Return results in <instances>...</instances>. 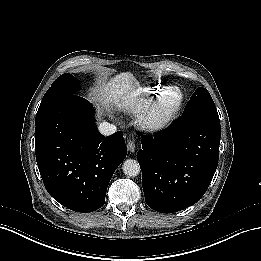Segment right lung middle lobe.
Masks as SVG:
<instances>
[{"label":"right lung middle lobe","mask_w":261,"mask_h":261,"mask_svg":"<svg viewBox=\"0 0 261 261\" xmlns=\"http://www.w3.org/2000/svg\"><path fill=\"white\" fill-rule=\"evenodd\" d=\"M79 88V81L71 74H63L59 76L44 95L39 109L36 114V119L58 104L65 97L75 94Z\"/></svg>","instance_id":"dd1d6c3e"}]
</instances>
